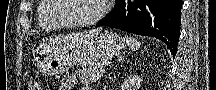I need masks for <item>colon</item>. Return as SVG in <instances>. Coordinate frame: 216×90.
Here are the masks:
<instances>
[{"mask_svg": "<svg viewBox=\"0 0 216 90\" xmlns=\"http://www.w3.org/2000/svg\"><path fill=\"white\" fill-rule=\"evenodd\" d=\"M27 90H41V85L37 80L32 79L28 82Z\"/></svg>", "mask_w": 216, "mask_h": 90, "instance_id": "5ec220e1", "label": "colon"}]
</instances>
